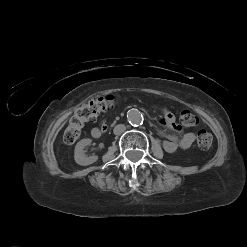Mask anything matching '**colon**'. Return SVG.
Listing matches in <instances>:
<instances>
[{
    "instance_id": "colon-1",
    "label": "colon",
    "mask_w": 247,
    "mask_h": 247,
    "mask_svg": "<svg viewBox=\"0 0 247 247\" xmlns=\"http://www.w3.org/2000/svg\"><path fill=\"white\" fill-rule=\"evenodd\" d=\"M116 102L117 100L115 96L106 95L92 99L77 108L64 131V142L66 144L75 143L81 135V130L84 124L88 121L94 120L102 112L113 108L116 105ZM179 122L183 127H193L198 123V119L192 112L184 109L180 112ZM212 143L213 137L209 132L205 130L198 132L197 145L199 148L208 150L211 148Z\"/></svg>"
}]
</instances>
